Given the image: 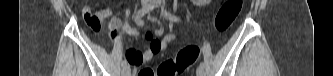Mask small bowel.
<instances>
[{"mask_svg":"<svg viewBox=\"0 0 333 76\" xmlns=\"http://www.w3.org/2000/svg\"><path fill=\"white\" fill-rule=\"evenodd\" d=\"M82 13L84 21L95 32L100 31L101 21L108 20L106 26L109 30V35L113 43L119 42L120 33L122 31L133 37H137L139 35L138 30L128 23L129 16H126L123 20H121L120 18L113 16V12L110 8H105L96 13H92L88 6H84L82 8ZM149 18L151 21L157 23L158 27L153 29L152 33L147 34V38L149 39L148 48L144 53H140L138 47L130 45V50L126 51V56L135 68L148 63L159 52L166 50L170 42L176 40V36L174 34H167L162 39H159L158 36L163 34V27L157 19L153 17ZM135 22L138 26L144 25L142 19H138L137 17L135 18Z\"/></svg>","mask_w":333,"mask_h":76,"instance_id":"small-bowel-1","label":"small bowel"}]
</instances>
